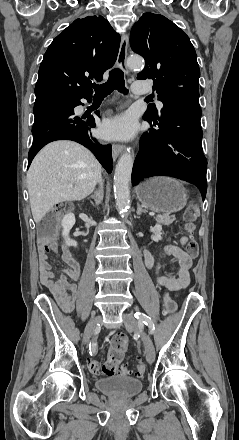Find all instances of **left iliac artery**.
Listing matches in <instances>:
<instances>
[{
	"label": "left iliac artery",
	"mask_w": 239,
	"mask_h": 440,
	"mask_svg": "<svg viewBox=\"0 0 239 440\" xmlns=\"http://www.w3.org/2000/svg\"><path fill=\"white\" fill-rule=\"evenodd\" d=\"M135 318L140 322V323H144L145 325L148 326L149 328V334H153L155 331V325L153 323V321L151 320L150 317H148L147 315L140 313V312H136L134 314Z\"/></svg>",
	"instance_id": "44dca946"
}]
</instances>
